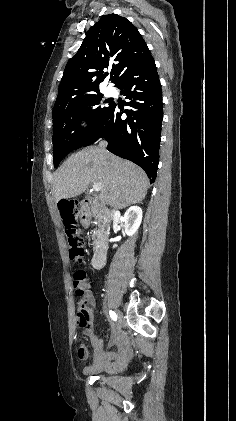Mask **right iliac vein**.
<instances>
[{
    "label": "right iliac vein",
    "mask_w": 236,
    "mask_h": 421,
    "mask_svg": "<svg viewBox=\"0 0 236 421\" xmlns=\"http://www.w3.org/2000/svg\"><path fill=\"white\" fill-rule=\"evenodd\" d=\"M122 326H123L122 325V314L120 312H118V320H117V322L114 326V330H113L114 337H116L120 333V331L122 329Z\"/></svg>",
    "instance_id": "1"
}]
</instances>
